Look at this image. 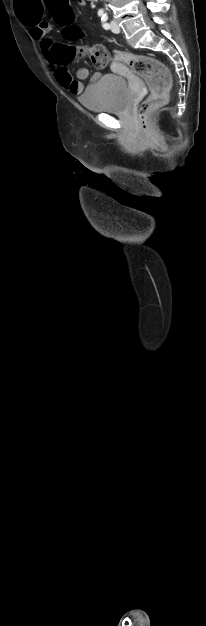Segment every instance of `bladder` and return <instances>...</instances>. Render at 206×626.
Returning <instances> with one entry per match:
<instances>
[{
  "label": "bladder",
  "instance_id": "31cf9c89",
  "mask_svg": "<svg viewBox=\"0 0 206 626\" xmlns=\"http://www.w3.org/2000/svg\"><path fill=\"white\" fill-rule=\"evenodd\" d=\"M80 104L92 112H124L131 102V91L125 78L104 75L80 96Z\"/></svg>",
  "mask_w": 206,
  "mask_h": 626
}]
</instances>
